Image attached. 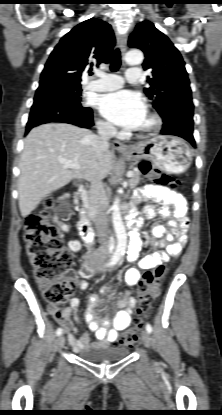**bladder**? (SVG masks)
<instances>
[{"label": "bladder", "instance_id": "31cf9c89", "mask_svg": "<svg viewBox=\"0 0 222 415\" xmlns=\"http://www.w3.org/2000/svg\"><path fill=\"white\" fill-rule=\"evenodd\" d=\"M130 350L125 347L108 346L104 348H90L78 352V356L88 362L104 363L126 358Z\"/></svg>", "mask_w": 222, "mask_h": 415}]
</instances>
